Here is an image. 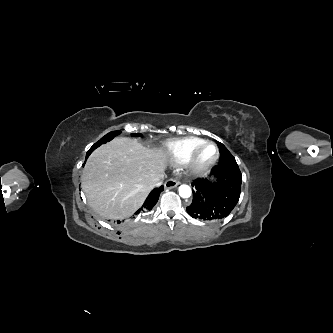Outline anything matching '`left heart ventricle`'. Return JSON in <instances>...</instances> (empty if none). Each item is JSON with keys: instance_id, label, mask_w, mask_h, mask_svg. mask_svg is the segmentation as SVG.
<instances>
[{"instance_id": "obj_1", "label": "left heart ventricle", "mask_w": 333, "mask_h": 333, "mask_svg": "<svg viewBox=\"0 0 333 333\" xmlns=\"http://www.w3.org/2000/svg\"><path fill=\"white\" fill-rule=\"evenodd\" d=\"M215 156V149L211 146L205 148L201 155H200V161L201 162H207L211 160Z\"/></svg>"}]
</instances>
